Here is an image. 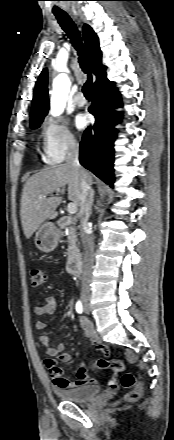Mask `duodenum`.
<instances>
[{
  "mask_svg": "<svg viewBox=\"0 0 174 440\" xmlns=\"http://www.w3.org/2000/svg\"><path fill=\"white\" fill-rule=\"evenodd\" d=\"M75 219L71 217H64L59 221L60 226L66 227L68 225H71ZM68 271L71 275L74 276H80L81 274V266H80V260L73 256L68 261Z\"/></svg>",
  "mask_w": 174,
  "mask_h": 440,
  "instance_id": "1",
  "label": "duodenum"
}]
</instances>
